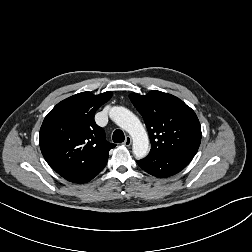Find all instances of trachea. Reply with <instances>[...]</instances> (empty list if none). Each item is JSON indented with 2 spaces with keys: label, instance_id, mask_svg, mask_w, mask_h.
<instances>
[{
  "label": "trachea",
  "instance_id": "1",
  "mask_svg": "<svg viewBox=\"0 0 252 252\" xmlns=\"http://www.w3.org/2000/svg\"><path fill=\"white\" fill-rule=\"evenodd\" d=\"M113 142L115 143H121L124 141L125 136L122 130H115L112 136Z\"/></svg>",
  "mask_w": 252,
  "mask_h": 252
}]
</instances>
